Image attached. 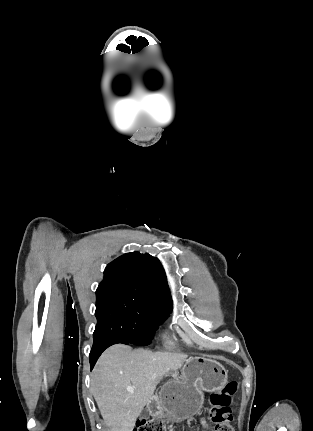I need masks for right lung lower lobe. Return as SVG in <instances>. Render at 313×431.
<instances>
[{"label": "right lung lower lobe", "mask_w": 313, "mask_h": 431, "mask_svg": "<svg viewBox=\"0 0 313 431\" xmlns=\"http://www.w3.org/2000/svg\"><path fill=\"white\" fill-rule=\"evenodd\" d=\"M118 343L129 344L120 340H103L99 343L93 344V348L91 349L90 356H89L91 369L94 367L99 356L106 348Z\"/></svg>", "instance_id": "1"}]
</instances>
